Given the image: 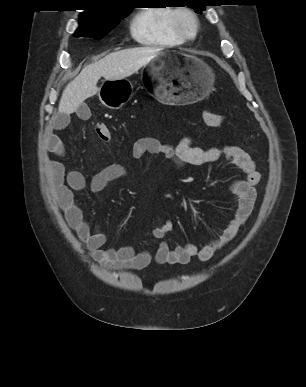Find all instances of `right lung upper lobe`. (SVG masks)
Masks as SVG:
<instances>
[{
    "label": "right lung upper lobe",
    "instance_id": "obj_1",
    "mask_svg": "<svg viewBox=\"0 0 306 387\" xmlns=\"http://www.w3.org/2000/svg\"><path fill=\"white\" fill-rule=\"evenodd\" d=\"M122 0H91L94 6L80 15V20H104L119 14L124 10Z\"/></svg>",
    "mask_w": 306,
    "mask_h": 387
}]
</instances>
